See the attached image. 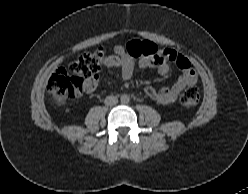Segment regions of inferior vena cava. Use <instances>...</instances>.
<instances>
[{
	"label": "inferior vena cava",
	"mask_w": 248,
	"mask_h": 194,
	"mask_svg": "<svg viewBox=\"0 0 248 194\" xmlns=\"http://www.w3.org/2000/svg\"><path fill=\"white\" fill-rule=\"evenodd\" d=\"M118 103V98L115 96H108L105 99V105L107 106H114Z\"/></svg>",
	"instance_id": "1"
}]
</instances>
